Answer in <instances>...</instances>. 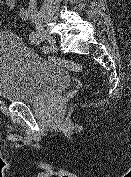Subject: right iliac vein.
Returning <instances> with one entry per match:
<instances>
[{
  "instance_id": "1",
  "label": "right iliac vein",
  "mask_w": 131,
  "mask_h": 177,
  "mask_svg": "<svg viewBox=\"0 0 131 177\" xmlns=\"http://www.w3.org/2000/svg\"><path fill=\"white\" fill-rule=\"evenodd\" d=\"M30 18L36 28L39 31V34L43 41L49 43L51 46L55 45V39L53 36L47 33V31L43 28L41 23V16L38 14L37 10L32 8L29 10Z\"/></svg>"
}]
</instances>
